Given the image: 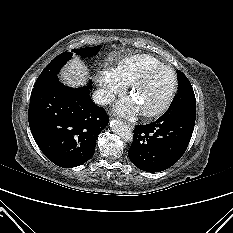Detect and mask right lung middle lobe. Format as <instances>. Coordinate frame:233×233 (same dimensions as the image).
Masks as SVG:
<instances>
[{
	"mask_svg": "<svg viewBox=\"0 0 233 233\" xmlns=\"http://www.w3.org/2000/svg\"><path fill=\"white\" fill-rule=\"evenodd\" d=\"M100 49V46L88 47L82 49H73L71 52H63L57 57H55L47 67L39 75L37 81L34 84V88L51 82L53 79L57 78L62 66L72 57L73 54H77L81 57H92Z\"/></svg>",
	"mask_w": 233,
	"mask_h": 233,
	"instance_id": "obj_1",
	"label": "right lung middle lobe"
}]
</instances>
